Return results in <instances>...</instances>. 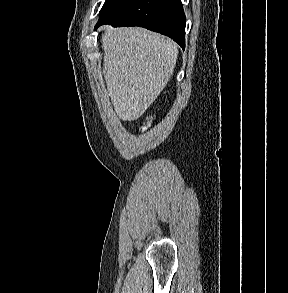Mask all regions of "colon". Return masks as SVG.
<instances>
[{
    "label": "colon",
    "instance_id": "colon-1",
    "mask_svg": "<svg viewBox=\"0 0 288 293\" xmlns=\"http://www.w3.org/2000/svg\"><path fill=\"white\" fill-rule=\"evenodd\" d=\"M149 121H146L145 123H144V126H143V128H146L148 125H149Z\"/></svg>",
    "mask_w": 288,
    "mask_h": 293
}]
</instances>
